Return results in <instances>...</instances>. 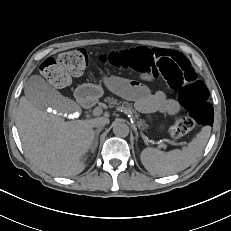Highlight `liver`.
I'll return each instance as SVG.
<instances>
[{
  "instance_id": "6515ba94",
  "label": "liver",
  "mask_w": 231,
  "mask_h": 231,
  "mask_svg": "<svg viewBox=\"0 0 231 231\" xmlns=\"http://www.w3.org/2000/svg\"><path fill=\"white\" fill-rule=\"evenodd\" d=\"M109 123V113L99 117ZM96 118V119H99ZM65 121L21 97L16 123L23 149L31 162L48 174L71 177L81 173L83 157L92 148L94 120Z\"/></svg>"
}]
</instances>
